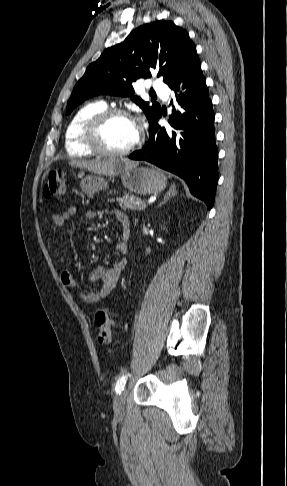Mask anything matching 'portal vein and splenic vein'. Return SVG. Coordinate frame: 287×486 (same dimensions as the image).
<instances>
[{"label": "portal vein and splenic vein", "mask_w": 287, "mask_h": 486, "mask_svg": "<svg viewBox=\"0 0 287 486\" xmlns=\"http://www.w3.org/2000/svg\"><path fill=\"white\" fill-rule=\"evenodd\" d=\"M143 207H144V208L146 207V204H145V203H143Z\"/></svg>", "instance_id": "1"}]
</instances>
